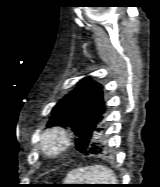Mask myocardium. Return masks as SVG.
<instances>
[{
	"mask_svg": "<svg viewBox=\"0 0 160 187\" xmlns=\"http://www.w3.org/2000/svg\"><path fill=\"white\" fill-rule=\"evenodd\" d=\"M70 145V134L64 128L54 126L43 133L38 148L45 157L54 158L65 152Z\"/></svg>",
	"mask_w": 160,
	"mask_h": 187,
	"instance_id": "f54148a6",
	"label": "myocardium"
}]
</instances>
